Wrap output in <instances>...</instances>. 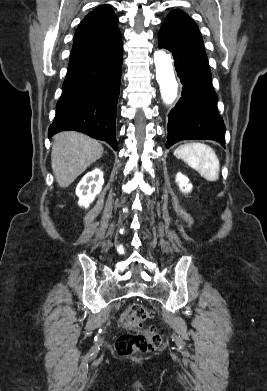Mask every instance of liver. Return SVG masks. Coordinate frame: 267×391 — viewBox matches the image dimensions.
Segmentation results:
<instances>
[{
	"label": "liver",
	"mask_w": 267,
	"mask_h": 391,
	"mask_svg": "<svg viewBox=\"0 0 267 391\" xmlns=\"http://www.w3.org/2000/svg\"><path fill=\"white\" fill-rule=\"evenodd\" d=\"M103 151L98 141L84 134L68 131L55 135L51 164L58 185L68 187L90 164L101 158Z\"/></svg>",
	"instance_id": "obj_1"
}]
</instances>
